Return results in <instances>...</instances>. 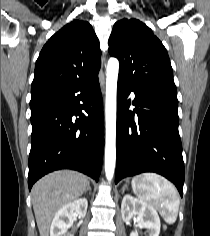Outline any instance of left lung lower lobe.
<instances>
[{"label":"left lung lower lobe","mask_w":210,"mask_h":236,"mask_svg":"<svg viewBox=\"0 0 210 236\" xmlns=\"http://www.w3.org/2000/svg\"><path fill=\"white\" fill-rule=\"evenodd\" d=\"M130 92L135 94L133 111L127 100ZM178 123L177 93L134 88L118 78L115 183L155 172L172 181L182 196L184 162Z\"/></svg>","instance_id":"1"}]
</instances>
